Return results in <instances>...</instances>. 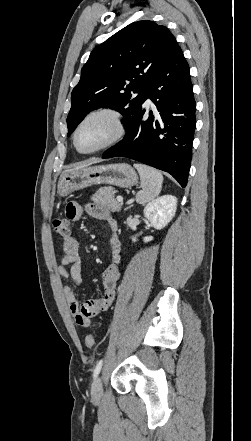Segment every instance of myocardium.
<instances>
[{"label":"myocardium","instance_id":"1","mask_svg":"<svg viewBox=\"0 0 251 441\" xmlns=\"http://www.w3.org/2000/svg\"><path fill=\"white\" fill-rule=\"evenodd\" d=\"M100 115L107 116L111 119V121L113 122V124L115 126L114 134L107 141H105L103 144L99 145L96 148H93L91 150L80 149V147L78 145V133H79L81 127L90 118L95 117V116H100ZM125 134H126V126H125L123 115L116 109H113L110 107H99V108L93 109V110L89 111L88 113H86L82 117V119L79 121V123L77 124V126L74 130L73 144L79 153L94 154V153H98L100 151H103L105 149H108V148L114 146L115 144H117L118 142H120L124 138Z\"/></svg>","mask_w":251,"mask_h":441}]
</instances>
